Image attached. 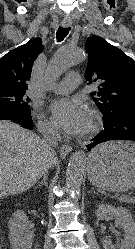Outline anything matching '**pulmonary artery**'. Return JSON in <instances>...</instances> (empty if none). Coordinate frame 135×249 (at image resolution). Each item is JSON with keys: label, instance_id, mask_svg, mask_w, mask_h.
Instances as JSON below:
<instances>
[{"label": "pulmonary artery", "instance_id": "e3ab8cb5", "mask_svg": "<svg viewBox=\"0 0 135 249\" xmlns=\"http://www.w3.org/2000/svg\"><path fill=\"white\" fill-rule=\"evenodd\" d=\"M81 84V76L78 73H71L67 75L64 81L55 83L51 89L59 94H68Z\"/></svg>", "mask_w": 135, "mask_h": 249}]
</instances>
